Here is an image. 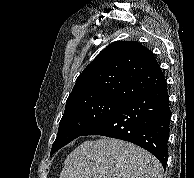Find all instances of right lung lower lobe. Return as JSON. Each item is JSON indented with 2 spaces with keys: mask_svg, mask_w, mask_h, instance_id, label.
Segmentation results:
<instances>
[{
  "mask_svg": "<svg viewBox=\"0 0 194 178\" xmlns=\"http://www.w3.org/2000/svg\"><path fill=\"white\" fill-rule=\"evenodd\" d=\"M171 114L164 85L125 101L81 136L102 135L134 143L152 153L165 168Z\"/></svg>",
  "mask_w": 194,
  "mask_h": 178,
  "instance_id": "1",
  "label": "right lung lower lobe"
}]
</instances>
